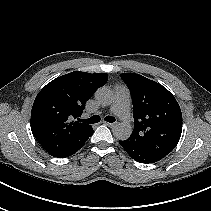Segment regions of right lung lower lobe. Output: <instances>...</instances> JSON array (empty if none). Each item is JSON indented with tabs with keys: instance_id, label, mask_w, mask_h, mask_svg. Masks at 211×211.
<instances>
[{
	"instance_id": "1",
	"label": "right lung lower lobe",
	"mask_w": 211,
	"mask_h": 211,
	"mask_svg": "<svg viewBox=\"0 0 211 211\" xmlns=\"http://www.w3.org/2000/svg\"><path fill=\"white\" fill-rule=\"evenodd\" d=\"M94 132V131H93ZM93 132H92V134H93ZM91 134V135H92ZM90 135V136H91ZM89 136V137H90ZM88 137V138H89ZM88 138H86L83 142H81L79 145H77L74 149H72L71 151H69L68 153H65V154H63V155H60V156H57L58 158H65V157H69V156H71V155H73L74 153H76L80 148H82V146L85 144V142L88 140Z\"/></svg>"
}]
</instances>
